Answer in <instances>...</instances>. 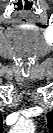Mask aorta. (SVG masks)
I'll return each instance as SVG.
<instances>
[{"mask_svg":"<svg viewBox=\"0 0 53 133\" xmlns=\"http://www.w3.org/2000/svg\"><path fill=\"white\" fill-rule=\"evenodd\" d=\"M16 130L22 133H31L34 130V126L29 123H19L16 126Z\"/></svg>","mask_w":53,"mask_h":133,"instance_id":"obj_1","label":"aorta"}]
</instances>
